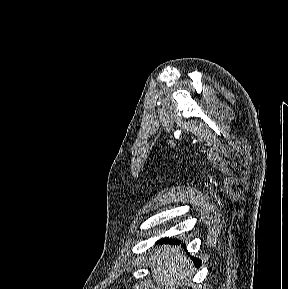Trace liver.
I'll list each match as a JSON object with an SVG mask.
<instances>
[{
	"instance_id": "obj_1",
	"label": "liver",
	"mask_w": 288,
	"mask_h": 289,
	"mask_svg": "<svg viewBox=\"0 0 288 289\" xmlns=\"http://www.w3.org/2000/svg\"><path fill=\"white\" fill-rule=\"evenodd\" d=\"M152 275L157 283L165 289H175L184 280L193 275L192 263L177 246H162L149 258Z\"/></svg>"
}]
</instances>
